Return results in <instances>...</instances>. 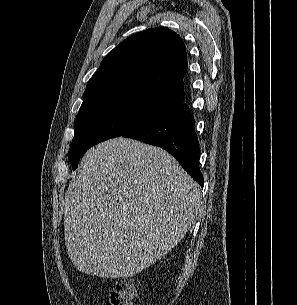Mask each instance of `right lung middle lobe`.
Masks as SVG:
<instances>
[{"label": "right lung middle lobe", "instance_id": "1", "mask_svg": "<svg viewBox=\"0 0 297 305\" xmlns=\"http://www.w3.org/2000/svg\"><path fill=\"white\" fill-rule=\"evenodd\" d=\"M173 106L147 96H117L80 108L74 138L68 152L73 169L79 158L92 146L133 131Z\"/></svg>", "mask_w": 297, "mask_h": 305}]
</instances>
